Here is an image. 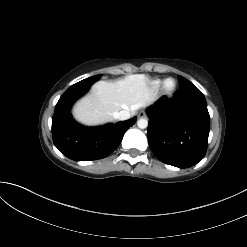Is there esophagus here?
<instances>
[{
	"mask_svg": "<svg viewBox=\"0 0 247 247\" xmlns=\"http://www.w3.org/2000/svg\"><path fill=\"white\" fill-rule=\"evenodd\" d=\"M139 117L145 118V117H147V115H146V113L144 111H140L139 112Z\"/></svg>",
	"mask_w": 247,
	"mask_h": 247,
	"instance_id": "34e87169",
	"label": "esophagus"
}]
</instances>
